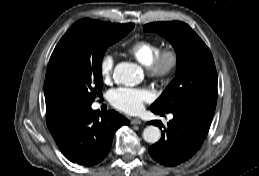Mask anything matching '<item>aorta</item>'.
<instances>
[{
	"label": "aorta",
	"mask_w": 259,
	"mask_h": 176,
	"mask_svg": "<svg viewBox=\"0 0 259 176\" xmlns=\"http://www.w3.org/2000/svg\"><path fill=\"white\" fill-rule=\"evenodd\" d=\"M114 79L116 82L126 86L137 85L142 77L136 64L130 62H121L114 69ZM161 138V131L158 127L150 125L143 131V139L151 144L158 142Z\"/></svg>",
	"instance_id": "obj_1"
}]
</instances>
